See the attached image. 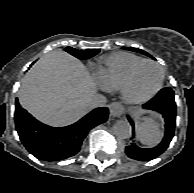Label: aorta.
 Here are the masks:
<instances>
[{"instance_id":"1","label":"aorta","mask_w":194,"mask_h":193,"mask_svg":"<svg viewBox=\"0 0 194 193\" xmlns=\"http://www.w3.org/2000/svg\"><path fill=\"white\" fill-rule=\"evenodd\" d=\"M115 135L120 139H127L132 134V128L128 121L126 120H118L114 127Z\"/></svg>"}]
</instances>
